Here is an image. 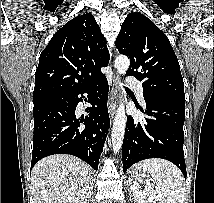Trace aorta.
<instances>
[{"mask_svg": "<svg viewBox=\"0 0 214 203\" xmlns=\"http://www.w3.org/2000/svg\"><path fill=\"white\" fill-rule=\"evenodd\" d=\"M130 66V60L125 55H119L115 60V67L119 74H125ZM127 122V116L125 114V107L121 101V104L117 108L113 128H112V148L116 154L121 149L125 127Z\"/></svg>", "mask_w": 214, "mask_h": 203, "instance_id": "obj_1", "label": "aorta"}]
</instances>
